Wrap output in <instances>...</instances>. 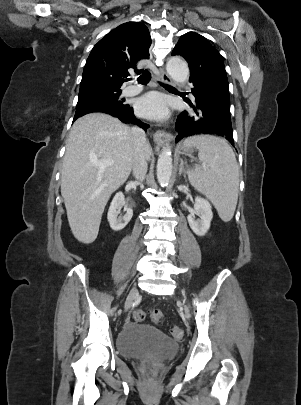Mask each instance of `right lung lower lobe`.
Segmentation results:
<instances>
[{"label":"right lung lower lobe","mask_w":301,"mask_h":405,"mask_svg":"<svg viewBox=\"0 0 301 405\" xmlns=\"http://www.w3.org/2000/svg\"><path fill=\"white\" fill-rule=\"evenodd\" d=\"M94 112H102V113L109 114L113 117L119 118L124 123H135L136 122L137 125H139L144 130H146L149 127L148 124L142 123L141 121L135 119L132 107L120 108V109L104 108V109H100V110L94 111ZM78 117H80V116L75 115L74 120L77 119Z\"/></svg>","instance_id":"98d812e1"}]
</instances>
